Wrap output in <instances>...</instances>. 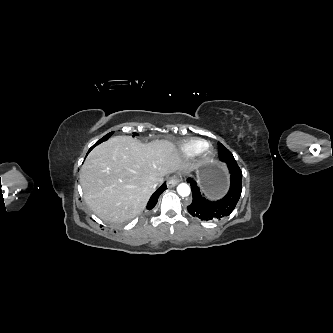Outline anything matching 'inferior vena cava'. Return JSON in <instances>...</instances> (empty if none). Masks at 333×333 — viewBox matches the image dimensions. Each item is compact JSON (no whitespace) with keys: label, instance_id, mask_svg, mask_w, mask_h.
<instances>
[{"label":"inferior vena cava","instance_id":"inferior-vena-cava-1","mask_svg":"<svg viewBox=\"0 0 333 333\" xmlns=\"http://www.w3.org/2000/svg\"><path fill=\"white\" fill-rule=\"evenodd\" d=\"M159 183H155L152 187L155 189L158 186Z\"/></svg>","mask_w":333,"mask_h":333}]
</instances>
